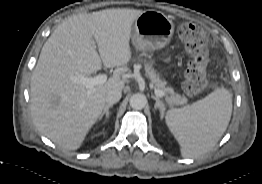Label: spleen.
I'll return each instance as SVG.
<instances>
[{"label": "spleen", "instance_id": "1", "mask_svg": "<svg viewBox=\"0 0 262 184\" xmlns=\"http://www.w3.org/2000/svg\"><path fill=\"white\" fill-rule=\"evenodd\" d=\"M232 95L217 88L204 99L166 112V124L180 145L182 157L192 158L210 151L228 127Z\"/></svg>", "mask_w": 262, "mask_h": 184}]
</instances>
